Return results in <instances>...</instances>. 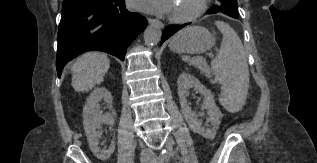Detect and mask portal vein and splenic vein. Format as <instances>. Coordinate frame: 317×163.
I'll return each mask as SVG.
<instances>
[{"label": "portal vein and splenic vein", "instance_id": "obj_1", "mask_svg": "<svg viewBox=\"0 0 317 163\" xmlns=\"http://www.w3.org/2000/svg\"><path fill=\"white\" fill-rule=\"evenodd\" d=\"M201 61H203L202 59H200ZM196 61H198V60H190L189 62L190 63H195Z\"/></svg>", "mask_w": 317, "mask_h": 163}]
</instances>
